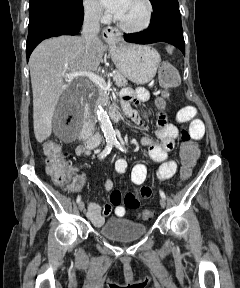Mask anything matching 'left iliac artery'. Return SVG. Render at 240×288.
Instances as JSON below:
<instances>
[{"label":"left iliac artery","instance_id":"obj_1","mask_svg":"<svg viewBox=\"0 0 240 288\" xmlns=\"http://www.w3.org/2000/svg\"><path fill=\"white\" fill-rule=\"evenodd\" d=\"M114 145L121 151H125V147L123 146V144H120L119 141L117 140H114ZM160 196L163 198V199H166V195L165 193L160 190Z\"/></svg>","mask_w":240,"mask_h":288}]
</instances>
